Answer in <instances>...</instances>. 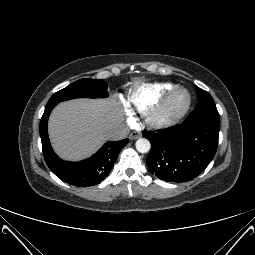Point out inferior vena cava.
Returning <instances> with one entry per match:
<instances>
[{
  "instance_id": "inferior-vena-cava-1",
  "label": "inferior vena cava",
  "mask_w": 255,
  "mask_h": 255,
  "mask_svg": "<svg viewBox=\"0 0 255 255\" xmlns=\"http://www.w3.org/2000/svg\"><path fill=\"white\" fill-rule=\"evenodd\" d=\"M129 134V128L123 125H119L108 132V137L111 140L117 141L124 139Z\"/></svg>"
}]
</instances>
